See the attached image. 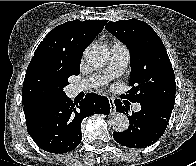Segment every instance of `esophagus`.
<instances>
[{
  "instance_id": "1",
  "label": "esophagus",
  "mask_w": 196,
  "mask_h": 166,
  "mask_svg": "<svg viewBox=\"0 0 196 166\" xmlns=\"http://www.w3.org/2000/svg\"><path fill=\"white\" fill-rule=\"evenodd\" d=\"M109 103H110V107H111V113L114 114L115 111H116V106H115V103H114V99L113 98H109Z\"/></svg>"
}]
</instances>
